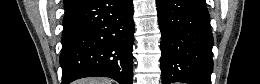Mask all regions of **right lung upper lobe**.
Returning <instances> with one entry per match:
<instances>
[{
    "mask_svg": "<svg viewBox=\"0 0 260 84\" xmlns=\"http://www.w3.org/2000/svg\"><path fill=\"white\" fill-rule=\"evenodd\" d=\"M84 0H65V12L70 11L76 8L79 4H81Z\"/></svg>",
    "mask_w": 260,
    "mask_h": 84,
    "instance_id": "1",
    "label": "right lung upper lobe"
}]
</instances>
